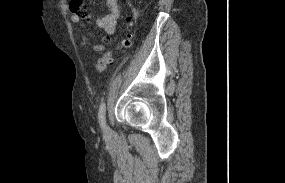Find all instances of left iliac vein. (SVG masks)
<instances>
[{
	"mask_svg": "<svg viewBox=\"0 0 285 183\" xmlns=\"http://www.w3.org/2000/svg\"><path fill=\"white\" fill-rule=\"evenodd\" d=\"M110 135H111V129L107 125H105L104 126V136L108 137Z\"/></svg>",
	"mask_w": 285,
	"mask_h": 183,
	"instance_id": "left-iliac-vein-1",
	"label": "left iliac vein"
}]
</instances>
